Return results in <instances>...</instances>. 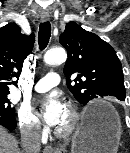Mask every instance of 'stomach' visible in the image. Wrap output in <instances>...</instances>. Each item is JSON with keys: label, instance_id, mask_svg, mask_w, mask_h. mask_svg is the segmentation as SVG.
Masks as SVG:
<instances>
[{"label": "stomach", "instance_id": "1", "mask_svg": "<svg viewBox=\"0 0 130 153\" xmlns=\"http://www.w3.org/2000/svg\"><path fill=\"white\" fill-rule=\"evenodd\" d=\"M90 110L104 113L88 119ZM120 136L121 121L117 111L104 101H95L73 136L71 153H117Z\"/></svg>", "mask_w": 130, "mask_h": 153}]
</instances>
